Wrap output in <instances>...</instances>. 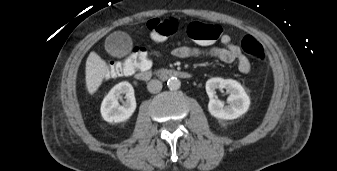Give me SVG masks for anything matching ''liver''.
Instances as JSON below:
<instances>
[{
	"label": "liver",
	"instance_id": "liver-1",
	"mask_svg": "<svg viewBox=\"0 0 337 171\" xmlns=\"http://www.w3.org/2000/svg\"><path fill=\"white\" fill-rule=\"evenodd\" d=\"M106 73V62L98 54L91 52L86 61V86L90 94L98 90Z\"/></svg>",
	"mask_w": 337,
	"mask_h": 171
}]
</instances>
